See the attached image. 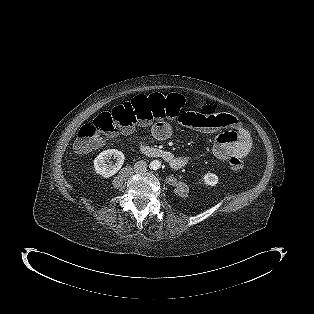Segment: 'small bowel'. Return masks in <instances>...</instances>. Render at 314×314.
<instances>
[{"label": "small bowel", "mask_w": 314, "mask_h": 314, "mask_svg": "<svg viewBox=\"0 0 314 314\" xmlns=\"http://www.w3.org/2000/svg\"><path fill=\"white\" fill-rule=\"evenodd\" d=\"M176 122L180 126L198 132L221 131L216 137L213 152L217 159L228 161L233 157L243 158L252 147L250 132L232 114L216 111L212 106L184 109L177 113ZM173 133L172 126L160 121L151 127V134L157 140H166ZM178 163L172 166L179 169L188 162V158L179 156Z\"/></svg>", "instance_id": "1"}]
</instances>
